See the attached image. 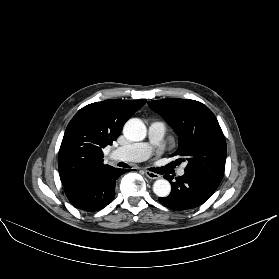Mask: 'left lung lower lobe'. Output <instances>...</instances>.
Masks as SVG:
<instances>
[{"instance_id":"obj_1","label":"left lung lower lobe","mask_w":279,"mask_h":279,"mask_svg":"<svg viewBox=\"0 0 279 279\" xmlns=\"http://www.w3.org/2000/svg\"><path fill=\"white\" fill-rule=\"evenodd\" d=\"M164 177L171 182L172 190L169 196L159 198V201L175 211L192 209L202 205L217 189L204 178L186 172L173 182L172 176L165 175Z\"/></svg>"}]
</instances>
